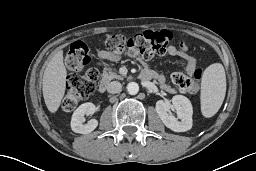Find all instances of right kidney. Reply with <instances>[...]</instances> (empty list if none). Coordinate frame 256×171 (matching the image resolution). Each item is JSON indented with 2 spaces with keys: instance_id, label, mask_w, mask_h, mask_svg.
Masks as SVG:
<instances>
[{
  "instance_id": "1",
  "label": "right kidney",
  "mask_w": 256,
  "mask_h": 171,
  "mask_svg": "<svg viewBox=\"0 0 256 171\" xmlns=\"http://www.w3.org/2000/svg\"><path fill=\"white\" fill-rule=\"evenodd\" d=\"M96 111L93 103L87 102L81 104L73 113L71 118V128L75 133L88 134L92 132L98 125L96 119L89 120L86 124L84 115H92Z\"/></svg>"
}]
</instances>
